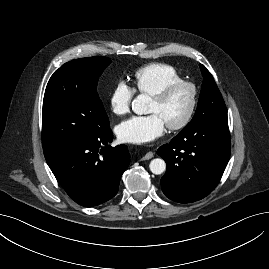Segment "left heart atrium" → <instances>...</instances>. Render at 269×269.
Returning a JSON list of instances; mask_svg holds the SVG:
<instances>
[{
  "instance_id": "39dd6f15",
  "label": "left heart atrium",
  "mask_w": 269,
  "mask_h": 269,
  "mask_svg": "<svg viewBox=\"0 0 269 269\" xmlns=\"http://www.w3.org/2000/svg\"><path fill=\"white\" fill-rule=\"evenodd\" d=\"M165 126V122L157 113L133 116L117 126V135L125 142L143 144L160 137Z\"/></svg>"
}]
</instances>
